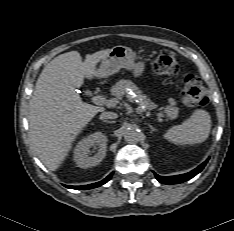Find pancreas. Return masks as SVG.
Masks as SVG:
<instances>
[{
	"mask_svg": "<svg viewBox=\"0 0 234 231\" xmlns=\"http://www.w3.org/2000/svg\"><path fill=\"white\" fill-rule=\"evenodd\" d=\"M126 88H129L132 92L136 94L135 97L127 95L130 100H139L140 104L145 106V109L152 110L156 108V105L151 102L142 92L138 89V87L131 82L130 80H120L118 81L112 88L111 94L114 95L116 98L120 99L126 94ZM176 102L171 101L170 105L167 106L164 110L166 116L170 119H175L178 116V108L175 106Z\"/></svg>",
	"mask_w": 234,
	"mask_h": 231,
	"instance_id": "obj_1",
	"label": "pancreas"
}]
</instances>
